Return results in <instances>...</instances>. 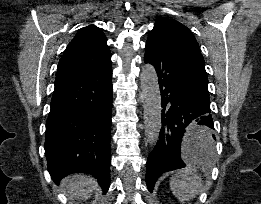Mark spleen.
Returning a JSON list of instances; mask_svg holds the SVG:
<instances>
[{"mask_svg":"<svg viewBox=\"0 0 261 204\" xmlns=\"http://www.w3.org/2000/svg\"><path fill=\"white\" fill-rule=\"evenodd\" d=\"M198 147L204 148L206 153L212 152L214 143L211 139H204L197 143ZM201 177L192 167H186L177 171L170 179V188L173 195L182 203L188 202L199 193Z\"/></svg>","mask_w":261,"mask_h":204,"instance_id":"spleen-1","label":"spleen"}]
</instances>
